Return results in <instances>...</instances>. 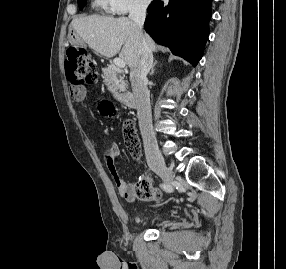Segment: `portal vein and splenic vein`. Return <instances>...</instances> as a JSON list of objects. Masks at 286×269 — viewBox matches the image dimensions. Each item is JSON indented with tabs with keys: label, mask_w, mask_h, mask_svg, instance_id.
Masks as SVG:
<instances>
[{
	"label": "portal vein and splenic vein",
	"mask_w": 286,
	"mask_h": 269,
	"mask_svg": "<svg viewBox=\"0 0 286 269\" xmlns=\"http://www.w3.org/2000/svg\"><path fill=\"white\" fill-rule=\"evenodd\" d=\"M114 65L118 68H124L126 66V63L124 62V60L120 59V58H116L114 59Z\"/></svg>",
	"instance_id": "18ae733b"
}]
</instances>
